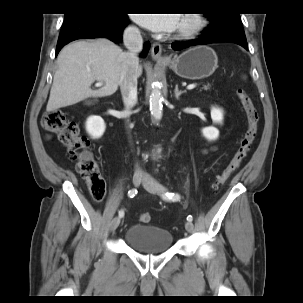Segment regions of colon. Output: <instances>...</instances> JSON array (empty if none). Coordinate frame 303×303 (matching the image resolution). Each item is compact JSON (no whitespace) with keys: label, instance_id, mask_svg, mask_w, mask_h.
Here are the masks:
<instances>
[{"label":"colon","instance_id":"5ec220e1","mask_svg":"<svg viewBox=\"0 0 303 303\" xmlns=\"http://www.w3.org/2000/svg\"><path fill=\"white\" fill-rule=\"evenodd\" d=\"M236 94L246 113L248 127L231 160L217 177L215 189L223 185L240 167L248 156L259 130V114L251 97L241 87L237 88ZM42 126L48 132L56 134L59 141L67 147L71 158L76 161L77 171L88 182L93 200L101 201L105 195V181L100 175L98 161L88 150L87 141L80 137L77 125L69 121L61 110H53L44 114ZM138 218L143 223L151 220L148 212L140 213Z\"/></svg>","mask_w":303,"mask_h":303}]
</instances>
